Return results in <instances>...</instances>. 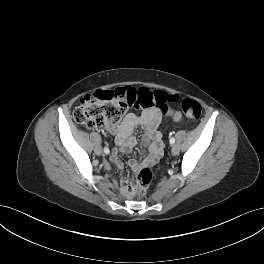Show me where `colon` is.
<instances>
[{
  "instance_id": "obj_1",
  "label": "colon",
  "mask_w": 264,
  "mask_h": 264,
  "mask_svg": "<svg viewBox=\"0 0 264 264\" xmlns=\"http://www.w3.org/2000/svg\"><path fill=\"white\" fill-rule=\"evenodd\" d=\"M175 100V96L161 90L124 86L115 90L96 91L85 96L74 110L73 117L78 124L88 129L112 127L122 120L130 107L158 109L166 113L169 104ZM180 107L191 120H197L201 115V105L193 99H183ZM152 176L149 168L138 171L133 179L130 193L145 196Z\"/></svg>"
}]
</instances>
